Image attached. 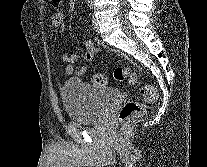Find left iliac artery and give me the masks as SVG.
<instances>
[{
  "mask_svg": "<svg viewBox=\"0 0 207 167\" xmlns=\"http://www.w3.org/2000/svg\"><path fill=\"white\" fill-rule=\"evenodd\" d=\"M89 7H90V9L93 7V3L92 2H89Z\"/></svg>",
  "mask_w": 207,
  "mask_h": 167,
  "instance_id": "1",
  "label": "left iliac artery"
}]
</instances>
